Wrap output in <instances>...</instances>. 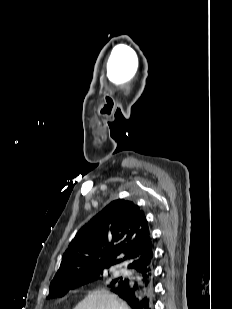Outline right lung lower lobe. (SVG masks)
<instances>
[{
    "instance_id": "right-lung-lower-lobe-1",
    "label": "right lung lower lobe",
    "mask_w": 232,
    "mask_h": 309,
    "mask_svg": "<svg viewBox=\"0 0 232 309\" xmlns=\"http://www.w3.org/2000/svg\"><path fill=\"white\" fill-rule=\"evenodd\" d=\"M133 274L112 288L132 309H153V257L128 266Z\"/></svg>"
}]
</instances>
